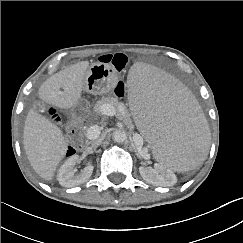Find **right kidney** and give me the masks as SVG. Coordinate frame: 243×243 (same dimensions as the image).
Returning a JSON list of instances; mask_svg holds the SVG:
<instances>
[{
    "instance_id": "obj_1",
    "label": "right kidney",
    "mask_w": 243,
    "mask_h": 243,
    "mask_svg": "<svg viewBox=\"0 0 243 243\" xmlns=\"http://www.w3.org/2000/svg\"><path fill=\"white\" fill-rule=\"evenodd\" d=\"M79 161L78 155H73L65 161L60 167L58 173V181L61 186L74 187L86 182L93 172V165L88 164L79 174H75L77 169L75 165Z\"/></svg>"
}]
</instances>
